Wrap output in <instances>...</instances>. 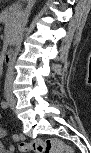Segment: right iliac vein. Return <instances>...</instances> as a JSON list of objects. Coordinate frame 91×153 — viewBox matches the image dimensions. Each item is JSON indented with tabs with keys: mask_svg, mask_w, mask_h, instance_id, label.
I'll return each instance as SVG.
<instances>
[{
	"mask_svg": "<svg viewBox=\"0 0 91 153\" xmlns=\"http://www.w3.org/2000/svg\"><path fill=\"white\" fill-rule=\"evenodd\" d=\"M6 100L11 107L15 106L16 100H15L14 96L9 91L6 93Z\"/></svg>",
	"mask_w": 91,
	"mask_h": 153,
	"instance_id": "63e3f726",
	"label": "right iliac vein"
}]
</instances>
